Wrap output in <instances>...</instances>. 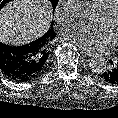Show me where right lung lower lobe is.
Returning <instances> with one entry per match:
<instances>
[{
    "label": "right lung lower lobe",
    "instance_id": "98d812e1",
    "mask_svg": "<svg viewBox=\"0 0 118 118\" xmlns=\"http://www.w3.org/2000/svg\"><path fill=\"white\" fill-rule=\"evenodd\" d=\"M29 44L9 46L0 42V73L16 82H26L36 77V55Z\"/></svg>",
    "mask_w": 118,
    "mask_h": 118
}]
</instances>
